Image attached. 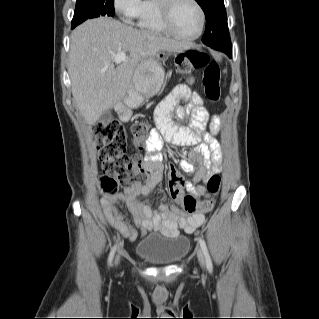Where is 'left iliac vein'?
<instances>
[{
    "mask_svg": "<svg viewBox=\"0 0 319 319\" xmlns=\"http://www.w3.org/2000/svg\"><path fill=\"white\" fill-rule=\"evenodd\" d=\"M197 257H198V260H199V263L201 264V266H204L205 259H204V256H203L201 249L197 250Z\"/></svg>",
    "mask_w": 319,
    "mask_h": 319,
    "instance_id": "1",
    "label": "left iliac vein"
}]
</instances>
